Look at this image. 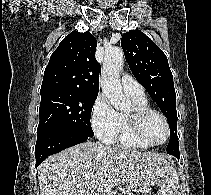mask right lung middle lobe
I'll return each mask as SVG.
<instances>
[{"label":"right lung middle lobe","instance_id":"obj_1","mask_svg":"<svg viewBox=\"0 0 211 195\" xmlns=\"http://www.w3.org/2000/svg\"><path fill=\"white\" fill-rule=\"evenodd\" d=\"M97 94L67 90L41 93L37 137L54 130H77L94 135L90 124Z\"/></svg>","mask_w":211,"mask_h":195}]
</instances>
